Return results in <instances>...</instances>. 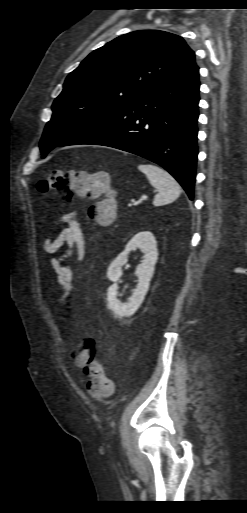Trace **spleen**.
Listing matches in <instances>:
<instances>
[{"instance_id": "spleen-1", "label": "spleen", "mask_w": 247, "mask_h": 513, "mask_svg": "<svg viewBox=\"0 0 247 513\" xmlns=\"http://www.w3.org/2000/svg\"><path fill=\"white\" fill-rule=\"evenodd\" d=\"M138 169L147 176L150 184L158 191L153 200L154 206L171 203L180 196L179 184L167 171L152 164H139Z\"/></svg>"}]
</instances>
